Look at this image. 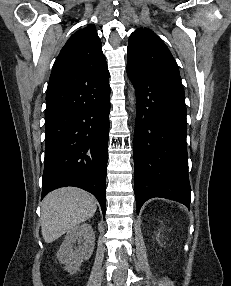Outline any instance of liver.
<instances>
[{
  "instance_id": "6515ba94",
  "label": "liver",
  "mask_w": 231,
  "mask_h": 286,
  "mask_svg": "<svg viewBox=\"0 0 231 286\" xmlns=\"http://www.w3.org/2000/svg\"><path fill=\"white\" fill-rule=\"evenodd\" d=\"M97 201L90 193L64 187L49 193L41 203V232L52 243L80 223L93 217Z\"/></svg>"
}]
</instances>
